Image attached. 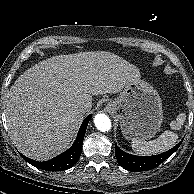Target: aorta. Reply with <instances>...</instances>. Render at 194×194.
Returning a JSON list of instances; mask_svg holds the SVG:
<instances>
[{
  "mask_svg": "<svg viewBox=\"0 0 194 194\" xmlns=\"http://www.w3.org/2000/svg\"><path fill=\"white\" fill-rule=\"evenodd\" d=\"M94 124H95V127L101 132H106L111 129L110 118L105 114L95 115Z\"/></svg>",
  "mask_w": 194,
  "mask_h": 194,
  "instance_id": "aorta-1",
  "label": "aorta"
}]
</instances>
